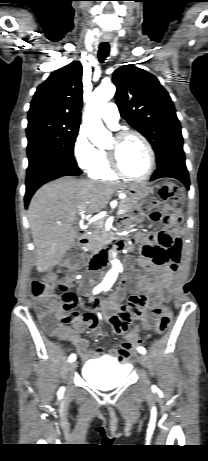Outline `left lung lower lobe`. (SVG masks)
<instances>
[{"label":"left lung lower lobe","mask_w":208,"mask_h":461,"mask_svg":"<svg viewBox=\"0 0 208 461\" xmlns=\"http://www.w3.org/2000/svg\"><path fill=\"white\" fill-rule=\"evenodd\" d=\"M162 177L176 178L180 180L187 189H189L190 181L185 165L184 153L173 154L160 163L157 170L152 175L151 180H156Z\"/></svg>","instance_id":"1"}]
</instances>
